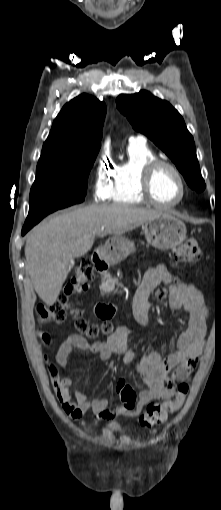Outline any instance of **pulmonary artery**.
I'll use <instances>...</instances> for the list:
<instances>
[{
    "label": "pulmonary artery",
    "instance_id": "e3ab8cb5",
    "mask_svg": "<svg viewBox=\"0 0 221 510\" xmlns=\"http://www.w3.org/2000/svg\"><path fill=\"white\" fill-rule=\"evenodd\" d=\"M129 141L130 142H139V143H145L146 142V138L142 135H137V136H131L129 138Z\"/></svg>",
    "mask_w": 221,
    "mask_h": 510
}]
</instances>
